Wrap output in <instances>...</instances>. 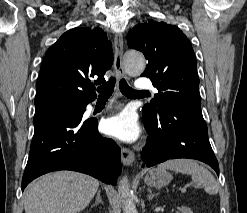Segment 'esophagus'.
Returning <instances> with one entry per match:
<instances>
[{
    "label": "esophagus",
    "instance_id": "34e87169",
    "mask_svg": "<svg viewBox=\"0 0 247 213\" xmlns=\"http://www.w3.org/2000/svg\"><path fill=\"white\" fill-rule=\"evenodd\" d=\"M123 36L121 33L115 34L114 37V68L117 74L118 79L125 78L126 74L123 68ZM134 153L128 149L123 147L121 149V159L124 166H131L134 161Z\"/></svg>",
    "mask_w": 247,
    "mask_h": 213
}]
</instances>
